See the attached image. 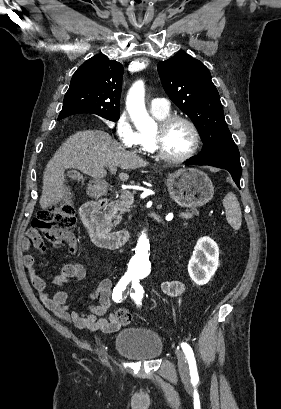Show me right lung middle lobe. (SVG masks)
I'll return each instance as SVG.
<instances>
[{
  "label": "right lung middle lobe",
  "instance_id": "1",
  "mask_svg": "<svg viewBox=\"0 0 281 409\" xmlns=\"http://www.w3.org/2000/svg\"><path fill=\"white\" fill-rule=\"evenodd\" d=\"M105 119H108L110 121H117L119 119V115H99Z\"/></svg>",
  "mask_w": 281,
  "mask_h": 409
}]
</instances>
